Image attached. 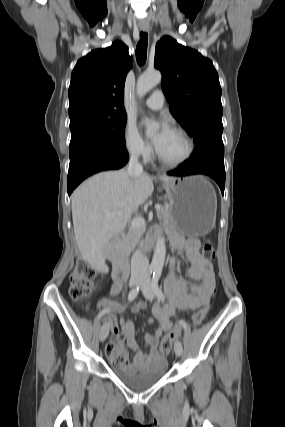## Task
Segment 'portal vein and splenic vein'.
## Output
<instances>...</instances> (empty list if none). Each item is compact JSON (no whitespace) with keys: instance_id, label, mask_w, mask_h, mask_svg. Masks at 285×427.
I'll return each mask as SVG.
<instances>
[{"instance_id":"portal-vein-and-splenic-vein-1","label":"portal vein and splenic vein","mask_w":285,"mask_h":427,"mask_svg":"<svg viewBox=\"0 0 285 427\" xmlns=\"http://www.w3.org/2000/svg\"><path fill=\"white\" fill-rule=\"evenodd\" d=\"M161 208V206H160V204H156L155 205V209L156 210H159ZM110 216H116V215H121L122 214V212L121 211H116V212H111V213H108ZM141 225H145V220H144V218H141V217H139V218H135V219H133V221H132V226H141Z\"/></svg>"}]
</instances>
